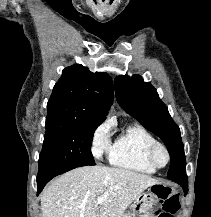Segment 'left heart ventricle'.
Listing matches in <instances>:
<instances>
[{"instance_id":"1","label":"left heart ventricle","mask_w":211,"mask_h":217,"mask_svg":"<svg viewBox=\"0 0 211 217\" xmlns=\"http://www.w3.org/2000/svg\"><path fill=\"white\" fill-rule=\"evenodd\" d=\"M156 160L161 165L165 163L166 156H165V154H164L163 151H161V150L157 151V153H156Z\"/></svg>"}]
</instances>
